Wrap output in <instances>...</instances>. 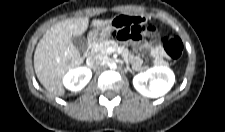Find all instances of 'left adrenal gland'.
<instances>
[{
  "label": "left adrenal gland",
  "instance_id": "left-adrenal-gland-1",
  "mask_svg": "<svg viewBox=\"0 0 225 132\" xmlns=\"http://www.w3.org/2000/svg\"><path fill=\"white\" fill-rule=\"evenodd\" d=\"M126 70L130 71L131 73H134L128 66H127Z\"/></svg>",
  "mask_w": 225,
  "mask_h": 132
}]
</instances>
